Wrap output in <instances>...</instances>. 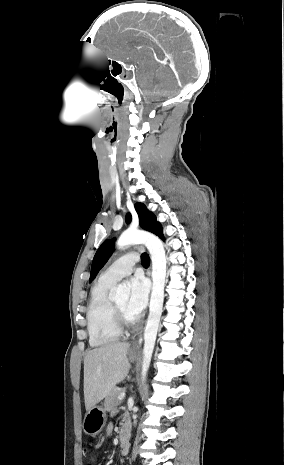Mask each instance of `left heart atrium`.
Instances as JSON below:
<instances>
[{
    "label": "left heart atrium",
    "instance_id": "left-heart-atrium-1",
    "mask_svg": "<svg viewBox=\"0 0 284 465\" xmlns=\"http://www.w3.org/2000/svg\"><path fill=\"white\" fill-rule=\"evenodd\" d=\"M130 295L128 299V311L137 318L146 308L148 302L149 289L145 279L141 276L131 278Z\"/></svg>",
    "mask_w": 284,
    "mask_h": 465
}]
</instances>
